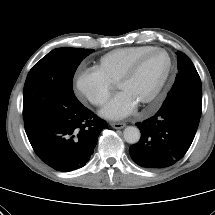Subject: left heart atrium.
<instances>
[{
	"mask_svg": "<svg viewBox=\"0 0 215 215\" xmlns=\"http://www.w3.org/2000/svg\"><path fill=\"white\" fill-rule=\"evenodd\" d=\"M136 103L124 92L115 95L100 111V115L111 120H119L129 116L135 109Z\"/></svg>",
	"mask_w": 215,
	"mask_h": 215,
	"instance_id": "39dd6f15",
	"label": "left heart atrium"
}]
</instances>
